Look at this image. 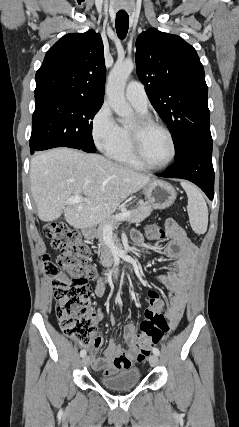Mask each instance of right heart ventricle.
Instances as JSON below:
<instances>
[{
  "label": "right heart ventricle",
  "instance_id": "right-heart-ventricle-1",
  "mask_svg": "<svg viewBox=\"0 0 239 427\" xmlns=\"http://www.w3.org/2000/svg\"><path fill=\"white\" fill-rule=\"evenodd\" d=\"M141 114H145V112L139 111ZM121 127V126H120ZM110 159L113 161L134 168V169H143L144 167L136 160L134 157L130 140L128 127H121V137L119 143L107 153Z\"/></svg>",
  "mask_w": 239,
  "mask_h": 427
}]
</instances>
